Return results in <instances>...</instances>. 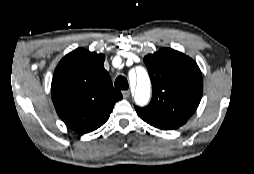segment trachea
I'll list each match as a JSON object with an SVG mask.
<instances>
[{
	"mask_svg": "<svg viewBox=\"0 0 254 174\" xmlns=\"http://www.w3.org/2000/svg\"><path fill=\"white\" fill-rule=\"evenodd\" d=\"M114 85L116 88H119L122 90H127L129 87L128 81L124 76H118L117 79L115 80Z\"/></svg>",
	"mask_w": 254,
	"mask_h": 174,
	"instance_id": "3493384b",
	"label": "trachea"
}]
</instances>
